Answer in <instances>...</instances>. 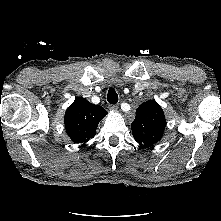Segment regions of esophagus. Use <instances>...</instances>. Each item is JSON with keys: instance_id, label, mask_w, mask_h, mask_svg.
I'll use <instances>...</instances> for the list:
<instances>
[{"instance_id": "esophagus-1", "label": "esophagus", "mask_w": 221, "mask_h": 221, "mask_svg": "<svg viewBox=\"0 0 221 221\" xmlns=\"http://www.w3.org/2000/svg\"><path fill=\"white\" fill-rule=\"evenodd\" d=\"M109 109H110L111 111H117V110L119 109V107H118V105L113 104V105H110V106H109Z\"/></svg>"}]
</instances>
